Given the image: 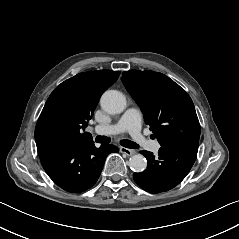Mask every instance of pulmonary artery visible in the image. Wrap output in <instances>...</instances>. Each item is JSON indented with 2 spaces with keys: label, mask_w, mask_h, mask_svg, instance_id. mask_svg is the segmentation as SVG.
I'll list each match as a JSON object with an SVG mask.
<instances>
[{
  "label": "pulmonary artery",
  "mask_w": 239,
  "mask_h": 239,
  "mask_svg": "<svg viewBox=\"0 0 239 239\" xmlns=\"http://www.w3.org/2000/svg\"><path fill=\"white\" fill-rule=\"evenodd\" d=\"M140 111L136 108L127 109L120 120L113 125H96L93 131L98 135H115L128 132L135 140L141 142V122ZM159 144L156 142L152 146V151L157 152Z\"/></svg>",
  "instance_id": "1"
}]
</instances>
